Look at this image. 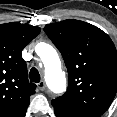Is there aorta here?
<instances>
[{
  "label": "aorta",
  "mask_w": 117,
  "mask_h": 117,
  "mask_svg": "<svg viewBox=\"0 0 117 117\" xmlns=\"http://www.w3.org/2000/svg\"><path fill=\"white\" fill-rule=\"evenodd\" d=\"M36 52L44 64L46 81L50 89L56 93L64 91L66 77L56 50L51 45L42 43Z\"/></svg>",
  "instance_id": "1"
}]
</instances>
